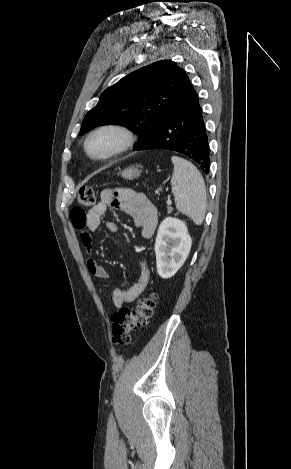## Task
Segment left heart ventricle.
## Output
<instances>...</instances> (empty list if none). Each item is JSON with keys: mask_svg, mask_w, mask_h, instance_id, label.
I'll return each mask as SVG.
<instances>
[{"mask_svg": "<svg viewBox=\"0 0 291 469\" xmlns=\"http://www.w3.org/2000/svg\"><path fill=\"white\" fill-rule=\"evenodd\" d=\"M118 143V136L112 132L95 135L89 142V151L95 156H102L112 151Z\"/></svg>", "mask_w": 291, "mask_h": 469, "instance_id": "b2bd125f", "label": "left heart ventricle"}]
</instances>
